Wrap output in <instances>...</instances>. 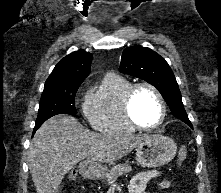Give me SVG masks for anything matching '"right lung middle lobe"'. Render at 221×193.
Returning <instances> with one entry per match:
<instances>
[{
  "instance_id": "1",
  "label": "right lung middle lobe",
  "mask_w": 221,
  "mask_h": 193,
  "mask_svg": "<svg viewBox=\"0 0 221 193\" xmlns=\"http://www.w3.org/2000/svg\"><path fill=\"white\" fill-rule=\"evenodd\" d=\"M79 86L44 89L39 103L36 124L57 114H77L75 95Z\"/></svg>"
}]
</instances>
